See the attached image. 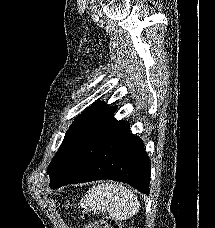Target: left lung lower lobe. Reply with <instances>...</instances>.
Returning a JSON list of instances; mask_svg holds the SVG:
<instances>
[{
  "label": "left lung lower lobe",
  "instance_id": "0a47b994",
  "mask_svg": "<svg viewBox=\"0 0 215 228\" xmlns=\"http://www.w3.org/2000/svg\"><path fill=\"white\" fill-rule=\"evenodd\" d=\"M150 160L142 140L130 133L127 121L113 115L72 154L51 179V189L63 185L110 179L125 182L148 195Z\"/></svg>",
  "mask_w": 215,
  "mask_h": 228
}]
</instances>
